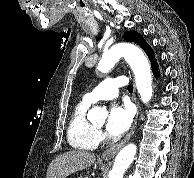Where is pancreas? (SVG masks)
Here are the masks:
<instances>
[{
	"label": "pancreas",
	"instance_id": "1",
	"mask_svg": "<svg viewBox=\"0 0 194 178\" xmlns=\"http://www.w3.org/2000/svg\"><path fill=\"white\" fill-rule=\"evenodd\" d=\"M78 178H89L88 176H80Z\"/></svg>",
	"mask_w": 194,
	"mask_h": 178
}]
</instances>
